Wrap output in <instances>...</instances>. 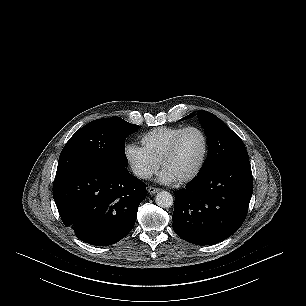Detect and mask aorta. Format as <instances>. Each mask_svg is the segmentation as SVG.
I'll list each match as a JSON object with an SVG mask.
<instances>
[{
  "mask_svg": "<svg viewBox=\"0 0 306 306\" xmlns=\"http://www.w3.org/2000/svg\"><path fill=\"white\" fill-rule=\"evenodd\" d=\"M155 202L159 207L169 208L173 205V196L167 191L157 193Z\"/></svg>",
  "mask_w": 306,
  "mask_h": 306,
  "instance_id": "762f6f07",
  "label": "aorta"
}]
</instances>
